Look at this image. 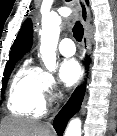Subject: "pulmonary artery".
<instances>
[{"mask_svg":"<svg viewBox=\"0 0 117 136\" xmlns=\"http://www.w3.org/2000/svg\"><path fill=\"white\" fill-rule=\"evenodd\" d=\"M59 51L63 56L70 57L75 54V44L70 38H64L59 45Z\"/></svg>","mask_w":117,"mask_h":136,"instance_id":"e3ab8cb5","label":"pulmonary artery"}]
</instances>
